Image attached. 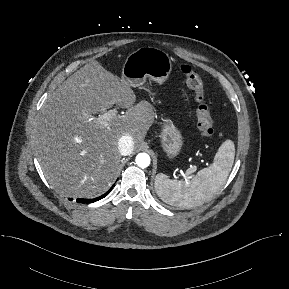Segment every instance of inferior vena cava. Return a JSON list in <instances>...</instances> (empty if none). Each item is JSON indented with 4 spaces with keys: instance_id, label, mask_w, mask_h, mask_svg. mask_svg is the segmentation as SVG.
<instances>
[{
    "instance_id": "1",
    "label": "inferior vena cava",
    "mask_w": 289,
    "mask_h": 289,
    "mask_svg": "<svg viewBox=\"0 0 289 289\" xmlns=\"http://www.w3.org/2000/svg\"><path fill=\"white\" fill-rule=\"evenodd\" d=\"M118 149L121 155H130L134 149L133 138L129 135H123L118 141Z\"/></svg>"
}]
</instances>
